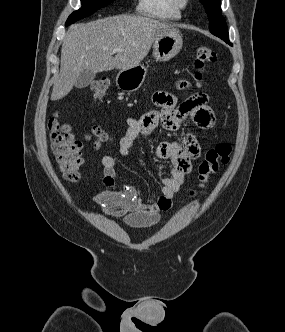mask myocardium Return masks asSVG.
Segmentation results:
<instances>
[{
  "label": "myocardium",
  "instance_id": "myocardium-1",
  "mask_svg": "<svg viewBox=\"0 0 285 332\" xmlns=\"http://www.w3.org/2000/svg\"><path fill=\"white\" fill-rule=\"evenodd\" d=\"M171 3L175 9H177L179 12H181L187 8V6L189 4V0H171Z\"/></svg>",
  "mask_w": 285,
  "mask_h": 332
}]
</instances>
